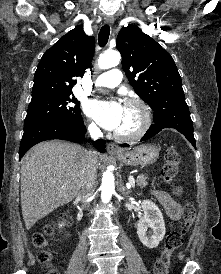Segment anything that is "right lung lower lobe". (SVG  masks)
<instances>
[{"mask_svg":"<svg viewBox=\"0 0 221 274\" xmlns=\"http://www.w3.org/2000/svg\"><path fill=\"white\" fill-rule=\"evenodd\" d=\"M85 136L86 127L84 122L71 123L64 120H47L27 125L24 127V134L20 143L19 159L24 156L30 147L41 141L63 139L77 143L84 140ZM94 146L100 152H105L104 140H97Z\"/></svg>","mask_w":221,"mask_h":274,"instance_id":"1","label":"right lung lower lobe"}]
</instances>
